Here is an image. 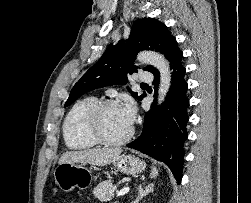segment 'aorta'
<instances>
[{
  "label": "aorta",
  "mask_w": 251,
  "mask_h": 203,
  "mask_svg": "<svg viewBox=\"0 0 251 203\" xmlns=\"http://www.w3.org/2000/svg\"><path fill=\"white\" fill-rule=\"evenodd\" d=\"M137 60L154 66L160 72V85L158 89V104H161L169 91L171 85V74L169 63L165 57L154 51H142L138 54Z\"/></svg>",
  "instance_id": "aorta-1"
}]
</instances>
